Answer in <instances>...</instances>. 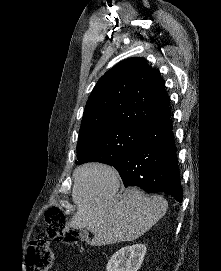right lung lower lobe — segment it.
<instances>
[{
	"label": "right lung lower lobe",
	"mask_w": 221,
	"mask_h": 271,
	"mask_svg": "<svg viewBox=\"0 0 221 271\" xmlns=\"http://www.w3.org/2000/svg\"><path fill=\"white\" fill-rule=\"evenodd\" d=\"M172 129L170 116L151 124L138 144L111 165L118 170L125 187L138 186L148 193L163 192L182 202Z\"/></svg>",
	"instance_id": "right-lung-lower-lobe-1"
}]
</instances>
